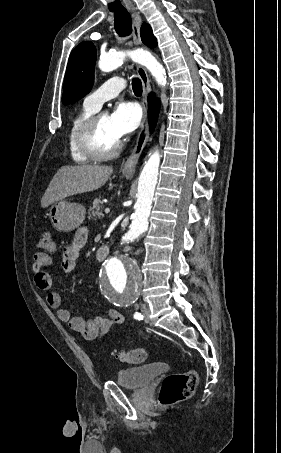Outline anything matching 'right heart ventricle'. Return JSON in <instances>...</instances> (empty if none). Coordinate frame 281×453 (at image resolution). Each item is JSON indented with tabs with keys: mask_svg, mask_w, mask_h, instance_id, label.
<instances>
[{
	"mask_svg": "<svg viewBox=\"0 0 281 453\" xmlns=\"http://www.w3.org/2000/svg\"><path fill=\"white\" fill-rule=\"evenodd\" d=\"M98 110L92 108L89 102L74 116L68 130V145L71 156L75 162H87L90 158L85 156L79 147V134L83 125L96 114Z\"/></svg>",
	"mask_w": 281,
	"mask_h": 453,
	"instance_id": "1",
	"label": "right heart ventricle"
}]
</instances>
